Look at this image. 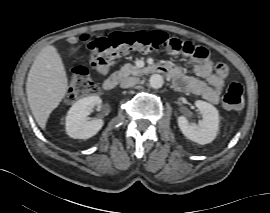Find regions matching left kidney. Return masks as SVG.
<instances>
[{
  "label": "left kidney",
  "instance_id": "1",
  "mask_svg": "<svg viewBox=\"0 0 270 213\" xmlns=\"http://www.w3.org/2000/svg\"><path fill=\"white\" fill-rule=\"evenodd\" d=\"M195 106L202 115V120L196 124L186 117H178V126L183 135L201 145L212 142L219 131V113L216 107L208 102L197 100Z\"/></svg>",
  "mask_w": 270,
  "mask_h": 213
}]
</instances>
